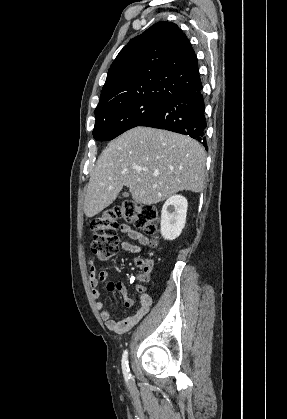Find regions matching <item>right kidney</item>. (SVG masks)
I'll use <instances>...</instances> for the list:
<instances>
[{
	"label": "right kidney",
	"instance_id": "1",
	"mask_svg": "<svg viewBox=\"0 0 287 419\" xmlns=\"http://www.w3.org/2000/svg\"><path fill=\"white\" fill-rule=\"evenodd\" d=\"M188 202L181 195L169 197L161 211V235L166 240H174L180 236L185 223Z\"/></svg>",
	"mask_w": 287,
	"mask_h": 419
}]
</instances>
